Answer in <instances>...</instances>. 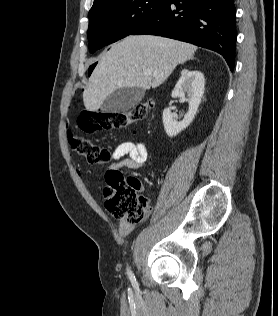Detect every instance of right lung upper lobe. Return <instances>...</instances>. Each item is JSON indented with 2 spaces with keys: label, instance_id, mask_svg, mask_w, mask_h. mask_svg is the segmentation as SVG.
Returning <instances> with one entry per match:
<instances>
[{
  "label": "right lung upper lobe",
  "instance_id": "cb5924a9",
  "mask_svg": "<svg viewBox=\"0 0 278 316\" xmlns=\"http://www.w3.org/2000/svg\"><path fill=\"white\" fill-rule=\"evenodd\" d=\"M105 1H107V0H94V4H93L92 7L98 5V4L102 3V2H105Z\"/></svg>",
  "mask_w": 278,
  "mask_h": 316
}]
</instances>
